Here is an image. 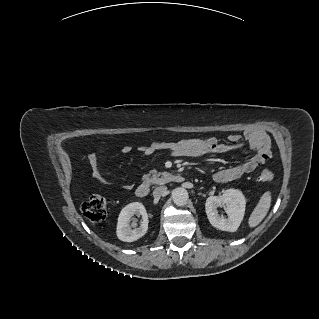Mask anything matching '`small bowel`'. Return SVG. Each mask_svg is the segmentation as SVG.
Here are the masks:
<instances>
[{"label":"small bowel","instance_id":"obj_1","mask_svg":"<svg viewBox=\"0 0 319 319\" xmlns=\"http://www.w3.org/2000/svg\"><path fill=\"white\" fill-rule=\"evenodd\" d=\"M246 141L250 149L255 154L244 162L223 168L217 171L213 178L218 183H226L242 177L256 170L263 165L266 161L260 149L263 144L268 142V137L264 132H248L246 134ZM244 142L242 137L238 134H231L228 137V142L223 143L214 137L209 138H196V139H183L174 142H149L140 147V152L144 155H152L157 151H166L174 157H190L201 158L208 155H219L234 152L243 148ZM132 152L131 146H124L122 149L123 154H130ZM91 176L99 183L109 185L110 181L103 174L96 153H92L88 157ZM131 183L123 184L126 189L131 188Z\"/></svg>","mask_w":319,"mask_h":319}]
</instances>
